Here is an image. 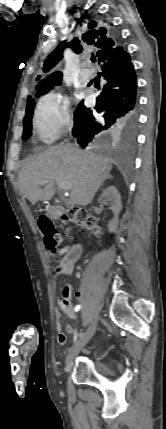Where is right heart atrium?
<instances>
[{
  "mask_svg": "<svg viewBox=\"0 0 166 429\" xmlns=\"http://www.w3.org/2000/svg\"><path fill=\"white\" fill-rule=\"evenodd\" d=\"M34 129L44 142H52L64 133L72 123L69 101L61 92L45 95L34 112Z\"/></svg>",
  "mask_w": 166,
  "mask_h": 429,
  "instance_id": "right-heart-atrium-1",
  "label": "right heart atrium"
}]
</instances>
